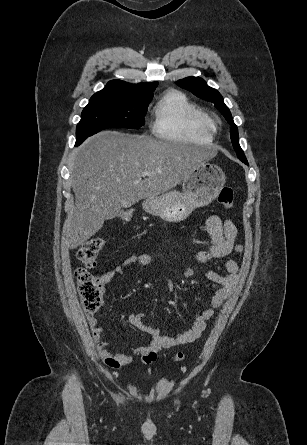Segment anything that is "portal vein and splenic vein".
<instances>
[{"label": "portal vein and splenic vein", "instance_id": "obj_1", "mask_svg": "<svg viewBox=\"0 0 307 445\" xmlns=\"http://www.w3.org/2000/svg\"><path fill=\"white\" fill-rule=\"evenodd\" d=\"M157 172H161V170H157ZM148 174H155V172H148V170H144V172H142L141 176H148Z\"/></svg>", "mask_w": 307, "mask_h": 445}]
</instances>
